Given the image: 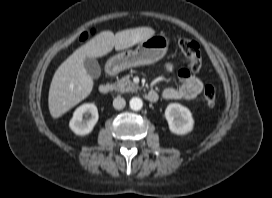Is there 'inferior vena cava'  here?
Wrapping results in <instances>:
<instances>
[{
    "mask_svg": "<svg viewBox=\"0 0 272 198\" xmlns=\"http://www.w3.org/2000/svg\"><path fill=\"white\" fill-rule=\"evenodd\" d=\"M126 101L124 98L118 96L113 100V107L117 110H121L125 107Z\"/></svg>",
    "mask_w": 272,
    "mask_h": 198,
    "instance_id": "1",
    "label": "inferior vena cava"
}]
</instances>
